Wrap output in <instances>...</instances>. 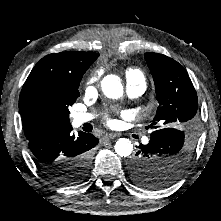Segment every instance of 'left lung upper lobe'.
Masks as SVG:
<instances>
[{
    "mask_svg": "<svg viewBox=\"0 0 221 221\" xmlns=\"http://www.w3.org/2000/svg\"><path fill=\"white\" fill-rule=\"evenodd\" d=\"M144 56L159 102L151 126L170 128L175 134L173 140L162 141L144 157L147 172L133 181L144 188L159 189L177 180L191 159L199 124L198 100L187 72L178 62L157 53H145ZM155 170L162 179L152 184L149 176Z\"/></svg>",
    "mask_w": 221,
    "mask_h": 221,
    "instance_id": "obj_1",
    "label": "left lung upper lobe"
}]
</instances>
